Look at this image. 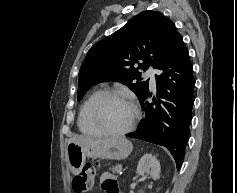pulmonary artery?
<instances>
[{"label":"pulmonary artery","mask_w":237,"mask_h":193,"mask_svg":"<svg viewBox=\"0 0 237 193\" xmlns=\"http://www.w3.org/2000/svg\"><path fill=\"white\" fill-rule=\"evenodd\" d=\"M146 76L150 78L151 88H155V70L152 67H149L146 71Z\"/></svg>","instance_id":"obj_1"}]
</instances>
